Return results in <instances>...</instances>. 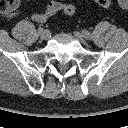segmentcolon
I'll return each instance as SVG.
<instances>
[{"mask_svg": "<svg viewBox=\"0 0 128 128\" xmlns=\"http://www.w3.org/2000/svg\"><path fill=\"white\" fill-rule=\"evenodd\" d=\"M102 7H110L113 3L112 0H95ZM119 5L123 9L128 10V0H118ZM20 5V0H0V12L7 14V16L12 15ZM76 7L72 3H67L63 7V13L67 16H71L75 13Z\"/></svg>", "mask_w": 128, "mask_h": 128, "instance_id": "obj_1", "label": "colon"}]
</instances>
